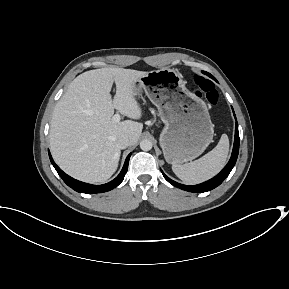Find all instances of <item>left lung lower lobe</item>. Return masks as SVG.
I'll return each instance as SVG.
<instances>
[{
    "label": "left lung lower lobe",
    "mask_w": 289,
    "mask_h": 289,
    "mask_svg": "<svg viewBox=\"0 0 289 289\" xmlns=\"http://www.w3.org/2000/svg\"><path fill=\"white\" fill-rule=\"evenodd\" d=\"M238 153H239V132H238V123L236 122L235 140H234V146H233L231 158H230L229 162L227 163V165L223 168V170L217 176H215L214 178H212V179H210L204 183L189 186V185L179 184V183L171 180L163 172L162 173H163L164 178L169 183H171L172 185H174V186H176L182 190L193 192V193L207 192V191H210V190L216 188L217 186H219L225 180V178L229 175V173L231 172L232 168L234 167V165L236 163Z\"/></svg>",
    "instance_id": "1"
}]
</instances>
